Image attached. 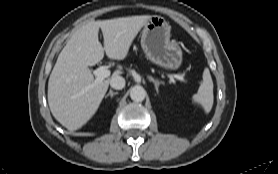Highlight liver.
Listing matches in <instances>:
<instances>
[{"label":"liver","mask_w":278,"mask_h":174,"mask_svg":"<svg viewBox=\"0 0 278 174\" xmlns=\"http://www.w3.org/2000/svg\"><path fill=\"white\" fill-rule=\"evenodd\" d=\"M151 17L89 21L73 33L60 52L48 81L49 108L62 126L75 131L92 118L111 79L92 86L95 80L89 66L100 62L104 53L110 59H125L133 40ZM99 29L103 33L104 47L98 39ZM121 73L116 70L112 77Z\"/></svg>","instance_id":"6515ba94"}]
</instances>
